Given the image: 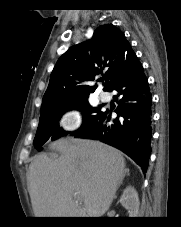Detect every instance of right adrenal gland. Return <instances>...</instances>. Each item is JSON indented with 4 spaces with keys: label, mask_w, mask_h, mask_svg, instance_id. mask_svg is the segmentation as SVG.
<instances>
[{
    "label": "right adrenal gland",
    "mask_w": 181,
    "mask_h": 227,
    "mask_svg": "<svg viewBox=\"0 0 181 227\" xmlns=\"http://www.w3.org/2000/svg\"><path fill=\"white\" fill-rule=\"evenodd\" d=\"M125 172L129 175V169H126ZM122 184V182H120L119 186Z\"/></svg>",
    "instance_id": "1"
}]
</instances>
